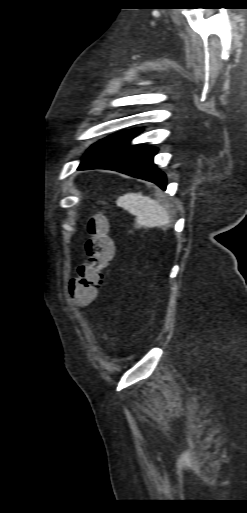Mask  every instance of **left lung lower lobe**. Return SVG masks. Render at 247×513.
Returning a JSON list of instances; mask_svg holds the SVG:
<instances>
[{
	"mask_svg": "<svg viewBox=\"0 0 247 513\" xmlns=\"http://www.w3.org/2000/svg\"><path fill=\"white\" fill-rule=\"evenodd\" d=\"M139 129L118 132L93 145L84 156L78 170L110 169L136 178L151 181L166 189V176L153 164L157 149L143 145H130Z\"/></svg>",
	"mask_w": 247,
	"mask_h": 513,
	"instance_id": "1",
	"label": "left lung lower lobe"
}]
</instances>
